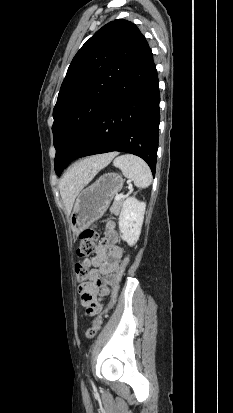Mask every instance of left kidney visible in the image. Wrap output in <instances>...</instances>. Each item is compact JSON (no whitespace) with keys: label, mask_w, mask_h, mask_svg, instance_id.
Segmentation results:
<instances>
[{"label":"left kidney","mask_w":233,"mask_h":413,"mask_svg":"<svg viewBox=\"0 0 233 413\" xmlns=\"http://www.w3.org/2000/svg\"><path fill=\"white\" fill-rule=\"evenodd\" d=\"M146 204L138 201L134 196L129 197L123 203L119 216V229L121 238L129 246L137 243L144 220Z\"/></svg>","instance_id":"5707ae66"}]
</instances>
